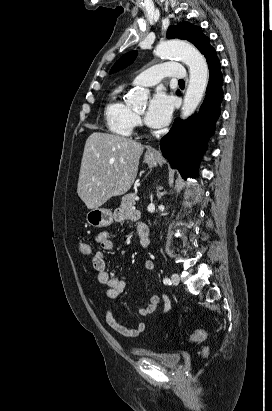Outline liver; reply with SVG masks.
Instances as JSON below:
<instances>
[{"label":"liver","instance_id":"liver-1","mask_svg":"<svg viewBox=\"0 0 272 411\" xmlns=\"http://www.w3.org/2000/svg\"><path fill=\"white\" fill-rule=\"evenodd\" d=\"M144 147L132 139L94 132L86 140L77 193L88 209L126 193L137 176Z\"/></svg>","mask_w":272,"mask_h":411}]
</instances>
